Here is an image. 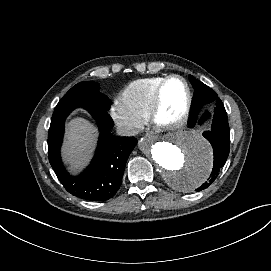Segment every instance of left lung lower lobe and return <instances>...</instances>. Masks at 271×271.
Masks as SVG:
<instances>
[{"instance_id": "obj_1", "label": "left lung lower lobe", "mask_w": 271, "mask_h": 271, "mask_svg": "<svg viewBox=\"0 0 271 271\" xmlns=\"http://www.w3.org/2000/svg\"><path fill=\"white\" fill-rule=\"evenodd\" d=\"M214 103L216 104V107L213 115L212 128L211 130L205 131L203 133V136L211 143L213 147L214 164L210 178H208V181L203 183L197 189V191L206 189L217 178L220 170L225 165V162L229 155L230 129L228 124L227 113L220 99L215 101ZM198 115L199 112L191 114L189 123L190 128L197 123ZM209 117L210 113L205 112L199 119V124L207 120Z\"/></svg>"}]
</instances>
